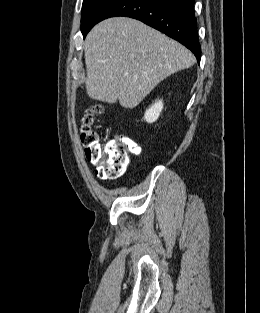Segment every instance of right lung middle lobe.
<instances>
[{"label":"right lung middle lobe","instance_id":"dd1d6c3e","mask_svg":"<svg viewBox=\"0 0 260 313\" xmlns=\"http://www.w3.org/2000/svg\"><path fill=\"white\" fill-rule=\"evenodd\" d=\"M117 0H83L81 13V32L83 37L99 22L102 15Z\"/></svg>","mask_w":260,"mask_h":313}]
</instances>
